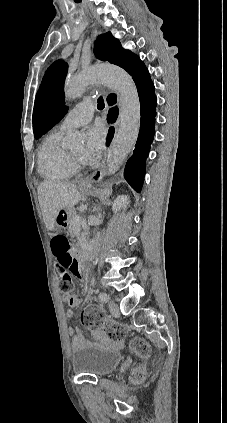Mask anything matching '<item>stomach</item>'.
<instances>
[{"mask_svg":"<svg viewBox=\"0 0 227 423\" xmlns=\"http://www.w3.org/2000/svg\"><path fill=\"white\" fill-rule=\"evenodd\" d=\"M79 186L83 194H91V192H94V188H92L91 182H89V184H81V182H79Z\"/></svg>","mask_w":227,"mask_h":423,"instance_id":"stomach-1","label":"stomach"}]
</instances>
